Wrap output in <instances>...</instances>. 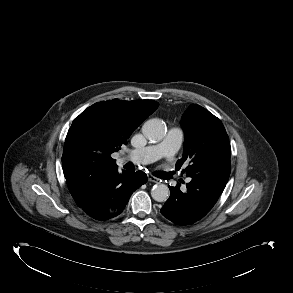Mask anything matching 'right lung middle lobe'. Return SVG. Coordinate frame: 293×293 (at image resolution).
I'll use <instances>...</instances> for the list:
<instances>
[{
	"instance_id": "obj_1",
	"label": "right lung middle lobe",
	"mask_w": 293,
	"mask_h": 293,
	"mask_svg": "<svg viewBox=\"0 0 293 293\" xmlns=\"http://www.w3.org/2000/svg\"><path fill=\"white\" fill-rule=\"evenodd\" d=\"M65 153L66 151L64 149V154ZM79 164L84 169H90L94 166L103 164V159L98 154L88 152L79 156Z\"/></svg>"
}]
</instances>
